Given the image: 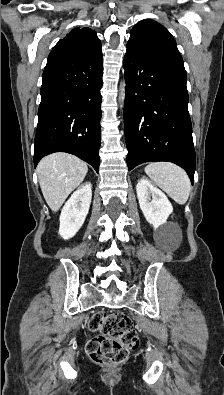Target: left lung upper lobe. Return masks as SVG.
<instances>
[{
  "label": "left lung upper lobe",
  "mask_w": 224,
  "mask_h": 395,
  "mask_svg": "<svg viewBox=\"0 0 224 395\" xmlns=\"http://www.w3.org/2000/svg\"><path fill=\"white\" fill-rule=\"evenodd\" d=\"M127 47L184 66L173 36L155 21L147 19L136 24L130 32Z\"/></svg>",
  "instance_id": "left-lung-upper-lobe-1"
}]
</instances>
